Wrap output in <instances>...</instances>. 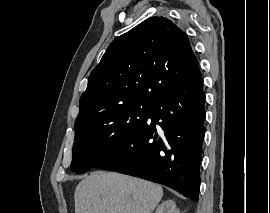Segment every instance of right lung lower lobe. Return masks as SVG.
<instances>
[{
	"label": "right lung lower lobe",
	"instance_id": "1",
	"mask_svg": "<svg viewBox=\"0 0 270 213\" xmlns=\"http://www.w3.org/2000/svg\"><path fill=\"white\" fill-rule=\"evenodd\" d=\"M202 83L197 67L160 97L142 127L95 168L160 183L198 201L205 119Z\"/></svg>",
	"mask_w": 270,
	"mask_h": 213
}]
</instances>
